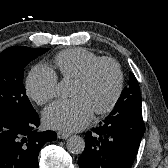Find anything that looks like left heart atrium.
Instances as JSON below:
<instances>
[{"instance_id": "obj_1", "label": "left heart atrium", "mask_w": 168, "mask_h": 168, "mask_svg": "<svg viewBox=\"0 0 168 168\" xmlns=\"http://www.w3.org/2000/svg\"><path fill=\"white\" fill-rule=\"evenodd\" d=\"M93 110L82 97L57 101L48 106L43 113L47 127L62 131H78L87 126Z\"/></svg>"}]
</instances>
